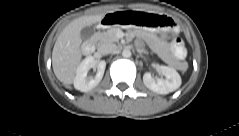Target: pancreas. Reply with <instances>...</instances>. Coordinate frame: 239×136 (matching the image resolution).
Masks as SVG:
<instances>
[{"label":"pancreas","instance_id":"cf45deb5","mask_svg":"<svg viewBox=\"0 0 239 136\" xmlns=\"http://www.w3.org/2000/svg\"><path fill=\"white\" fill-rule=\"evenodd\" d=\"M119 31H121L119 27H111L105 32L97 33L96 37L100 43L118 42L119 38L117 37V33Z\"/></svg>","mask_w":239,"mask_h":136}]
</instances>
